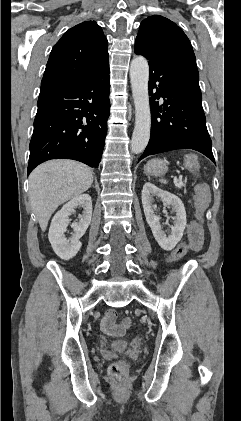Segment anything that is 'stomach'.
Segmentation results:
<instances>
[{
	"mask_svg": "<svg viewBox=\"0 0 241 421\" xmlns=\"http://www.w3.org/2000/svg\"><path fill=\"white\" fill-rule=\"evenodd\" d=\"M168 163L161 159L150 160L144 167V172L147 175L161 176L164 175L168 170Z\"/></svg>",
	"mask_w": 241,
	"mask_h": 421,
	"instance_id": "obj_1",
	"label": "stomach"
}]
</instances>
